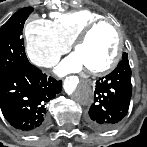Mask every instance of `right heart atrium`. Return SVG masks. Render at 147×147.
Masks as SVG:
<instances>
[{
  "mask_svg": "<svg viewBox=\"0 0 147 147\" xmlns=\"http://www.w3.org/2000/svg\"><path fill=\"white\" fill-rule=\"evenodd\" d=\"M26 53L30 61L41 68L52 67L68 49L57 39L51 21L32 17L25 27Z\"/></svg>",
  "mask_w": 147,
  "mask_h": 147,
  "instance_id": "obj_1",
  "label": "right heart atrium"
}]
</instances>
